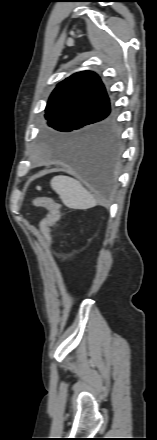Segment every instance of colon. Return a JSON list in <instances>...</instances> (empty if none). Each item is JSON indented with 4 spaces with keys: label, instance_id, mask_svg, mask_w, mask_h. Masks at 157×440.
<instances>
[{
    "label": "colon",
    "instance_id": "colon-1",
    "mask_svg": "<svg viewBox=\"0 0 157 440\" xmlns=\"http://www.w3.org/2000/svg\"><path fill=\"white\" fill-rule=\"evenodd\" d=\"M34 204L47 210L48 214L40 224L41 232L46 241L50 242V230L60 218V206L49 197L39 196L34 199Z\"/></svg>",
    "mask_w": 157,
    "mask_h": 440
}]
</instances>
